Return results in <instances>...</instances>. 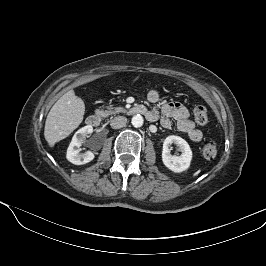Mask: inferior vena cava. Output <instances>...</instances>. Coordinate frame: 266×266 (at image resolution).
Masks as SVG:
<instances>
[{
    "label": "inferior vena cava",
    "instance_id": "602c4592",
    "mask_svg": "<svg viewBox=\"0 0 266 266\" xmlns=\"http://www.w3.org/2000/svg\"><path fill=\"white\" fill-rule=\"evenodd\" d=\"M126 123H127L126 117L116 116L111 120L110 125L113 129H120V128L124 127L126 125Z\"/></svg>",
    "mask_w": 266,
    "mask_h": 266
}]
</instances>
